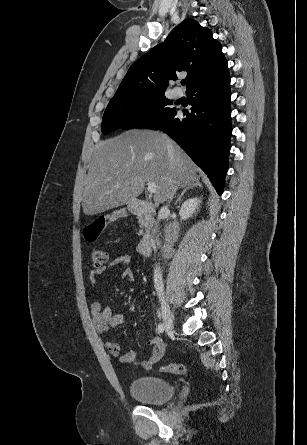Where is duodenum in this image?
Returning a JSON list of instances; mask_svg holds the SVG:
<instances>
[{
	"mask_svg": "<svg viewBox=\"0 0 307 445\" xmlns=\"http://www.w3.org/2000/svg\"><path fill=\"white\" fill-rule=\"evenodd\" d=\"M130 211L132 214L138 216L146 225V231L137 246V250L141 255L148 256L153 247L154 216L156 210L150 202L136 199L131 202Z\"/></svg>",
	"mask_w": 307,
	"mask_h": 445,
	"instance_id": "1",
	"label": "duodenum"
}]
</instances>
